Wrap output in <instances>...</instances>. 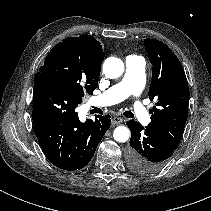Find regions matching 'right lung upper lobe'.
Listing matches in <instances>:
<instances>
[{
    "label": "right lung upper lobe",
    "mask_w": 211,
    "mask_h": 211,
    "mask_svg": "<svg viewBox=\"0 0 211 211\" xmlns=\"http://www.w3.org/2000/svg\"><path fill=\"white\" fill-rule=\"evenodd\" d=\"M67 39L70 40L77 52L88 60L91 69L100 74L101 63L105 55L100 42L90 35Z\"/></svg>",
    "instance_id": "cb5924a9"
}]
</instances>
